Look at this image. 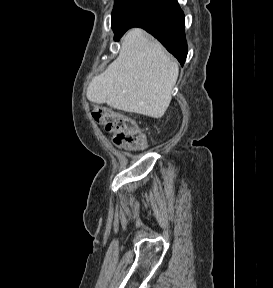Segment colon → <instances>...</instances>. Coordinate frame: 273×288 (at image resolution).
<instances>
[{
	"mask_svg": "<svg viewBox=\"0 0 273 288\" xmlns=\"http://www.w3.org/2000/svg\"><path fill=\"white\" fill-rule=\"evenodd\" d=\"M92 117L112 134L117 146L128 149H140L145 146V135L133 118L104 106H94Z\"/></svg>",
	"mask_w": 273,
	"mask_h": 288,
	"instance_id": "obj_1",
	"label": "colon"
}]
</instances>
